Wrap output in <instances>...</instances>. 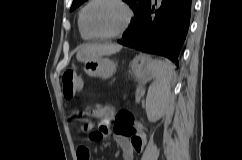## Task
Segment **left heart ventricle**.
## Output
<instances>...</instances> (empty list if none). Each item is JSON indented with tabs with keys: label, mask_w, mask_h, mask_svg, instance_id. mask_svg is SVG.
Wrapping results in <instances>:
<instances>
[{
	"label": "left heart ventricle",
	"mask_w": 242,
	"mask_h": 160,
	"mask_svg": "<svg viewBox=\"0 0 242 160\" xmlns=\"http://www.w3.org/2000/svg\"><path fill=\"white\" fill-rule=\"evenodd\" d=\"M125 22L123 8L112 0H99L86 11L85 24L95 34L118 31Z\"/></svg>",
	"instance_id": "1"
}]
</instances>
